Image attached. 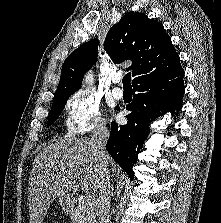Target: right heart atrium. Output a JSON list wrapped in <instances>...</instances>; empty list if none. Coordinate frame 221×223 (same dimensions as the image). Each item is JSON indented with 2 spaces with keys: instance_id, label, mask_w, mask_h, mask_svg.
Segmentation results:
<instances>
[{
  "instance_id": "d8ad5b80",
  "label": "right heart atrium",
  "mask_w": 221,
  "mask_h": 223,
  "mask_svg": "<svg viewBox=\"0 0 221 223\" xmlns=\"http://www.w3.org/2000/svg\"><path fill=\"white\" fill-rule=\"evenodd\" d=\"M65 130L71 137L106 129L99 101L86 92H76L65 104Z\"/></svg>"
}]
</instances>
